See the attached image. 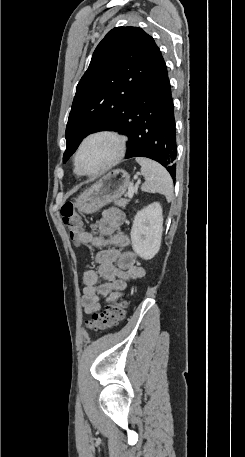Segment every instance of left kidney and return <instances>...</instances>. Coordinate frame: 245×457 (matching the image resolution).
Returning <instances> with one entry per match:
<instances>
[{
	"instance_id": "obj_1",
	"label": "left kidney",
	"mask_w": 245,
	"mask_h": 457,
	"mask_svg": "<svg viewBox=\"0 0 245 457\" xmlns=\"http://www.w3.org/2000/svg\"><path fill=\"white\" fill-rule=\"evenodd\" d=\"M163 231L162 206L151 202L138 210L131 229L132 249L141 259H153L161 247Z\"/></svg>"
}]
</instances>
